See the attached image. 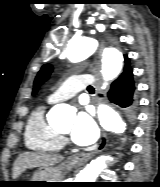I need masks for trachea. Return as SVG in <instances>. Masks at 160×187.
<instances>
[{
    "instance_id": "trachea-1",
    "label": "trachea",
    "mask_w": 160,
    "mask_h": 187,
    "mask_svg": "<svg viewBox=\"0 0 160 187\" xmlns=\"http://www.w3.org/2000/svg\"><path fill=\"white\" fill-rule=\"evenodd\" d=\"M88 91L92 93V92H94V88L92 86H89Z\"/></svg>"
}]
</instances>
